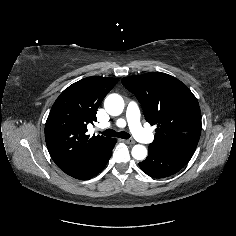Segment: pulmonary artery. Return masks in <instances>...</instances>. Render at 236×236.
<instances>
[{
	"mask_svg": "<svg viewBox=\"0 0 236 236\" xmlns=\"http://www.w3.org/2000/svg\"><path fill=\"white\" fill-rule=\"evenodd\" d=\"M128 124L135 138L142 143H151L154 140V135L143 128L140 122V108L136 102H130L126 108V120L118 119L115 125L122 128ZM105 126H110L107 124Z\"/></svg>",
	"mask_w": 236,
	"mask_h": 236,
	"instance_id": "obj_1",
	"label": "pulmonary artery"
}]
</instances>
